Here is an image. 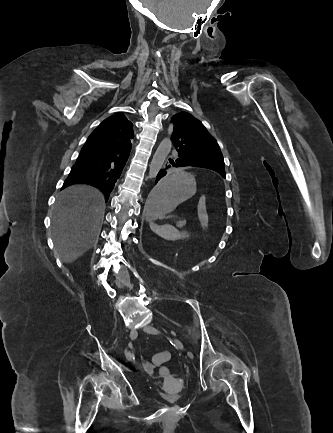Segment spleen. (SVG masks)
I'll use <instances>...</instances> for the list:
<instances>
[{
  "instance_id": "1",
  "label": "spleen",
  "mask_w": 333,
  "mask_h": 433,
  "mask_svg": "<svg viewBox=\"0 0 333 433\" xmlns=\"http://www.w3.org/2000/svg\"><path fill=\"white\" fill-rule=\"evenodd\" d=\"M174 176V175H173ZM159 183V182H158ZM195 193V192H194ZM150 229L165 240H179L188 237L185 232H179L175 227L170 224L158 225L155 220H148Z\"/></svg>"
}]
</instances>
